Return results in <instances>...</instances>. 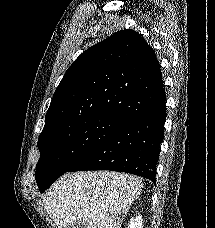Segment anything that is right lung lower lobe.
Segmentation results:
<instances>
[{
	"label": "right lung lower lobe",
	"mask_w": 215,
	"mask_h": 228,
	"mask_svg": "<svg viewBox=\"0 0 215 228\" xmlns=\"http://www.w3.org/2000/svg\"><path fill=\"white\" fill-rule=\"evenodd\" d=\"M165 118L164 100L126 119L67 172L112 170L135 174L156 184Z\"/></svg>",
	"instance_id": "obj_1"
}]
</instances>
